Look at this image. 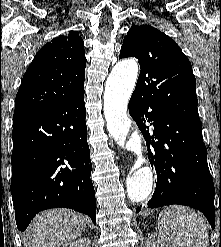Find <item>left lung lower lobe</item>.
Segmentation results:
<instances>
[{
    "instance_id": "1",
    "label": "left lung lower lobe",
    "mask_w": 221,
    "mask_h": 247,
    "mask_svg": "<svg viewBox=\"0 0 221 247\" xmlns=\"http://www.w3.org/2000/svg\"><path fill=\"white\" fill-rule=\"evenodd\" d=\"M129 113L146 139L148 157L157 172L156 188L147 207L190 206L201 211L214 228V183L207 164L201 122L170 114L134 93L129 101ZM145 122H153V141ZM141 208L137 207L136 211Z\"/></svg>"
}]
</instances>
